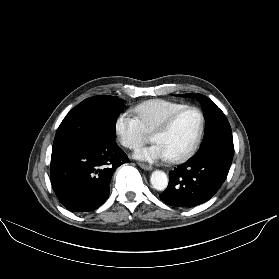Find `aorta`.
I'll return each instance as SVG.
<instances>
[{
	"instance_id": "obj_1",
	"label": "aorta",
	"mask_w": 279,
	"mask_h": 279,
	"mask_svg": "<svg viewBox=\"0 0 279 279\" xmlns=\"http://www.w3.org/2000/svg\"><path fill=\"white\" fill-rule=\"evenodd\" d=\"M150 183L154 189L163 191L167 188L168 177L165 172L156 170L151 174Z\"/></svg>"
}]
</instances>
